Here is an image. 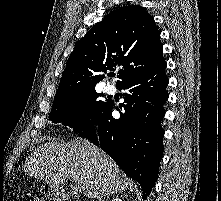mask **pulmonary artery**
Segmentation results:
<instances>
[{
	"label": "pulmonary artery",
	"mask_w": 221,
	"mask_h": 201,
	"mask_svg": "<svg viewBox=\"0 0 221 201\" xmlns=\"http://www.w3.org/2000/svg\"><path fill=\"white\" fill-rule=\"evenodd\" d=\"M105 91L107 92V93H114V91H115V87L113 86V85H106V87H105Z\"/></svg>",
	"instance_id": "1"
}]
</instances>
